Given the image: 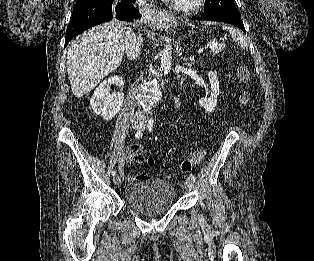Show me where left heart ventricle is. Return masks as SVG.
<instances>
[{
	"label": "left heart ventricle",
	"mask_w": 314,
	"mask_h": 261,
	"mask_svg": "<svg viewBox=\"0 0 314 261\" xmlns=\"http://www.w3.org/2000/svg\"><path fill=\"white\" fill-rule=\"evenodd\" d=\"M176 1L187 2V1H189V0H176Z\"/></svg>",
	"instance_id": "b2bd125f"
}]
</instances>
